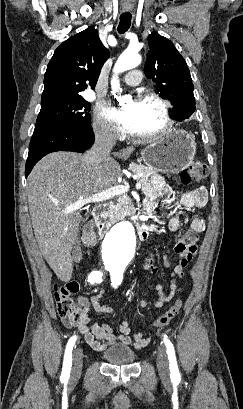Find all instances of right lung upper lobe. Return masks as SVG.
I'll return each instance as SVG.
<instances>
[{"label": "right lung upper lobe", "instance_id": "right-lung-upper-lobe-1", "mask_svg": "<svg viewBox=\"0 0 243 409\" xmlns=\"http://www.w3.org/2000/svg\"><path fill=\"white\" fill-rule=\"evenodd\" d=\"M108 57L93 27L70 37L55 50L47 66L41 101L76 97L87 86L94 88Z\"/></svg>", "mask_w": 243, "mask_h": 409}]
</instances>
